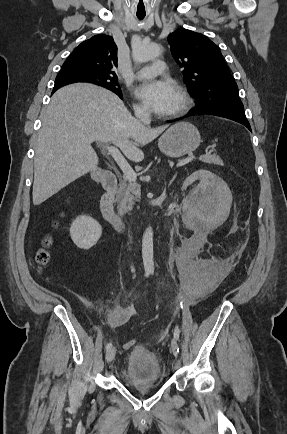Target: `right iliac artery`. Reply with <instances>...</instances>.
I'll use <instances>...</instances> for the list:
<instances>
[{
    "mask_svg": "<svg viewBox=\"0 0 287 434\" xmlns=\"http://www.w3.org/2000/svg\"><path fill=\"white\" fill-rule=\"evenodd\" d=\"M146 277L148 276V274H146L145 275ZM111 347H112V344L111 343H108L107 345H106V351H108L109 349H111Z\"/></svg>",
    "mask_w": 287,
    "mask_h": 434,
    "instance_id": "82829eb1",
    "label": "right iliac artery"
}]
</instances>
